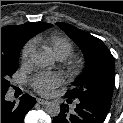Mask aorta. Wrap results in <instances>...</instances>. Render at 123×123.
<instances>
[{
	"label": "aorta",
	"instance_id": "aorta-1",
	"mask_svg": "<svg viewBox=\"0 0 123 123\" xmlns=\"http://www.w3.org/2000/svg\"><path fill=\"white\" fill-rule=\"evenodd\" d=\"M31 61L38 67H48L52 64V58L44 53V52H37L32 54ZM45 111L52 117H56L60 113V104L57 102H48L45 106Z\"/></svg>",
	"mask_w": 123,
	"mask_h": 123
}]
</instances>
